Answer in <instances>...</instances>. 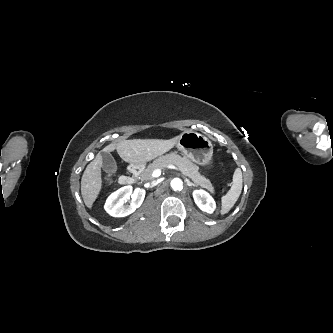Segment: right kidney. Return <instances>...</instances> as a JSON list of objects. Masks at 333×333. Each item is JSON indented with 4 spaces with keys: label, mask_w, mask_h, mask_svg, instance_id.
I'll use <instances>...</instances> for the list:
<instances>
[{
    "label": "right kidney",
    "mask_w": 333,
    "mask_h": 333,
    "mask_svg": "<svg viewBox=\"0 0 333 333\" xmlns=\"http://www.w3.org/2000/svg\"><path fill=\"white\" fill-rule=\"evenodd\" d=\"M131 198V204L123 206L124 201ZM145 198V190L132 186H124L113 192L106 200L104 209L113 217H125L133 213L141 206Z\"/></svg>",
    "instance_id": "1"
}]
</instances>
